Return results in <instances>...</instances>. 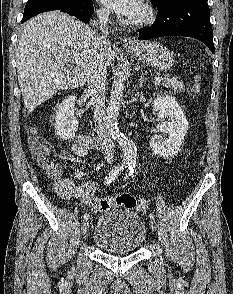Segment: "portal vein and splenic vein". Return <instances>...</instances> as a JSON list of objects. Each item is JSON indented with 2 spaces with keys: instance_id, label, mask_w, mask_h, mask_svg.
I'll use <instances>...</instances> for the list:
<instances>
[{
  "instance_id": "1",
  "label": "portal vein and splenic vein",
  "mask_w": 233,
  "mask_h": 294,
  "mask_svg": "<svg viewBox=\"0 0 233 294\" xmlns=\"http://www.w3.org/2000/svg\"><path fill=\"white\" fill-rule=\"evenodd\" d=\"M163 80V77H154V81L160 82Z\"/></svg>"
}]
</instances>
